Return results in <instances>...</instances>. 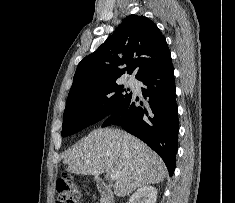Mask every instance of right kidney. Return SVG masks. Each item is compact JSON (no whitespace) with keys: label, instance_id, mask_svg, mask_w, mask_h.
Returning <instances> with one entry per match:
<instances>
[{"label":"right kidney","instance_id":"right-kidney-1","mask_svg":"<svg viewBox=\"0 0 235 203\" xmlns=\"http://www.w3.org/2000/svg\"><path fill=\"white\" fill-rule=\"evenodd\" d=\"M157 189L153 186L139 188L129 199L128 203H156Z\"/></svg>","mask_w":235,"mask_h":203}]
</instances>
